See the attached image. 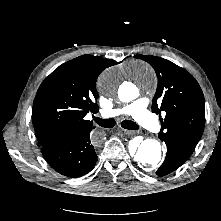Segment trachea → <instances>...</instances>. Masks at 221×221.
Returning <instances> with one entry per match:
<instances>
[{
  "instance_id": "obj_1",
  "label": "trachea",
  "mask_w": 221,
  "mask_h": 221,
  "mask_svg": "<svg viewBox=\"0 0 221 221\" xmlns=\"http://www.w3.org/2000/svg\"><path fill=\"white\" fill-rule=\"evenodd\" d=\"M93 119L98 125H100L101 127H104V128H112L115 125L114 119H101V118H97V117H94ZM121 126L125 129H129V130H138L139 129V126L131 120L122 121Z\"/></svg>"
}]
</instances>
